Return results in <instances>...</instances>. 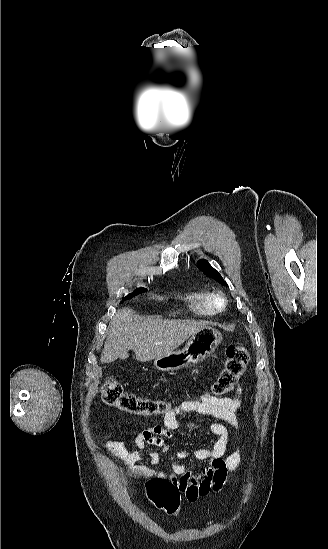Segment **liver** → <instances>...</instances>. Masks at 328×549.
<instances>
[{"instance_id": "liver-1", "label": "liver", "mask_w": 328, "mask_h": 549, "mask_svg": "<svg viewBox=\"0 0 328 549\" xmlns=\"http://www.w3.org/2000/svg\"><path fill=\"white\" fill-rule=\"evenodd\" d=\"M206 327L205 321L141 317L132 309H120L109 323L101 363L128 359L134 351L137 361L146 363L174 353L191 335Z\"/></svg>"}]
</instances>
